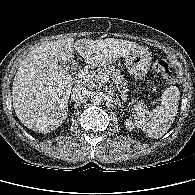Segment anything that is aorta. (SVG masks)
Wrapping results in <instances>:
<instances>
[{"label":"aorta","instance_id":"762f6f07","mask_svg":"<svg viewBox=\"0 0 195 195\" xmlns=\"http://www.w3.org/2000/svg\"><path fill=\"white\" fill-rule=\"evenodd\" d=\"M92 101L94 104L99 105L102 101V97L100 95H95Z\"/></svg>","mask_w":195,"mask_h":195}]
</instances>
